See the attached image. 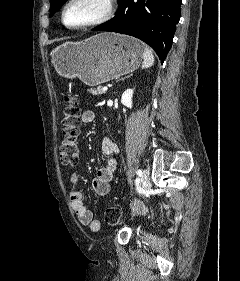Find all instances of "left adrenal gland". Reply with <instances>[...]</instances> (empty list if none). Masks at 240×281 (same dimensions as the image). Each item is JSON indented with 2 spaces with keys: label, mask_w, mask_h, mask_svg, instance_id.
Here are the masks:
<instances>
[{
  "label": "left adrenal gland",
  "mask_w": 240,
  "mask_h": 281,
  "mask_svg": "<svg viewBox=\"0 0 240 281\" xmlns=\"http://www.w3.org/2000/svg\"><path fill=\"white\" fill-rule=\"evenodd\" d=\"M128 77H130V76H126V77H124V78H121V79H119V80H124V79H126V78H128Z\"/></svg>",
  "instance_id": "obj_1"
}]
</instances>
